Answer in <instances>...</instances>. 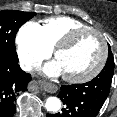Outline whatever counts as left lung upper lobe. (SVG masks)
<instances>
[{
	"label": "left lung upper lobe",
	"instance_id": "1",
	"mask_svg": "<svg viewBox=\"0 0 117 117\" xmlns=\"http://www.w3.org/2000/svg\"><path fill=\"white\" fill-rule=\"evenodd\" d=\"M113 72H114V58L111 52V48L109 46V55H108L107 63L96 78H99V80L107 83L108 85H111Z\"/></svg>",
	"mask_w": 117,
	"mask_h": 117
}]
</instances>
